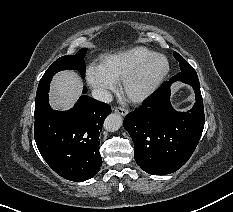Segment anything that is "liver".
I'll return each mask as SVG.
<instances>
[{"instance_id": "1", "label": "liver", "mask_w": 233, "mask_h": 212, "mask_svg": "<svg viewBox=\"0 0 233 212\" xmlns=\"http://www.w3.org/2000/svg\"><path fill=\"white\" fill-rule=\"evenodd\" d=\"M81 92L82 82L76 73L59 72L51 83L50 104L56 110H68L80 97Z\"/></svg>"}]
</instances>
